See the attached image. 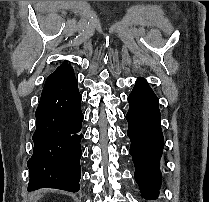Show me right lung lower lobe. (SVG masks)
Wrapping results in <instances>:
<instances>
[{
    "label": "right lung lower lobe",
    "mask_w": 209,
    "mask_h": 202,
    "mask_svg": "<svg viewBox=\"0 0 209 202\" xmlns=\"http://www.w3.org/2000/svg\"><path fill=\"white\" fill-rule=\"evenodd\" d=\"M74 70L67 63L48 76L35 112L29 191L44 187L79 191L83 114Z\"/></svg>",
    "instance_id": "right-lung-lower-lobe-1"
}]
</instances>
